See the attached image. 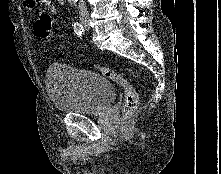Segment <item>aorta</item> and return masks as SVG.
<instances>
[{
  "mask_svg": "<svg viewBox=\"0 0 221 174\" xmlns=\"http://www.w3.org/2000/svg\"><path fill=\"white\" fill-rule=\"evenodd\" d=\"M71 4H74L77 0H68Z\"/></svg>",
  "mask_w": 221,
  "mask_h": 174,
  "instance_id": "1",
  "label": "aorta"
}]
</instances>
